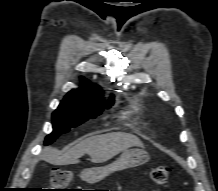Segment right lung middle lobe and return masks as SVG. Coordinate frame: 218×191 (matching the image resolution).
<instances>
[{"label": "right lung middle lobe", "instance_id": "right-lung-middle-lobe-1", "mask_svg": "<svg viewBox=\"0 0 218 191\" xmlns=\"http://www.w3.org/2000/svg\"><path fill=\"white\" fill-rule=\"evenodd\" d=\"M114 98L106 105L110 107ZM103 110L102 99H85L66 96L52 114L53 132L46 137L45 144L52 143L60 134L68 132Z\"/></svg>", "mask_w": 218, "mask_h": 191}]
</instances>
